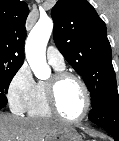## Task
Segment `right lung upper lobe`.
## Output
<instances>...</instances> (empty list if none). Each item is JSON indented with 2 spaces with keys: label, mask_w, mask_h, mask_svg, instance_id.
I'll use <instances>...</instances> for the list:
<instances>
[{
  "label": "right lung upper lobe",
  "mask_w": 119,
  "mask_h": 141,
  "mask_svg": "<svg viewBox=\"0 0 119 141\" xmlns=\"http://www.w3.org/2000/svg\"><path fill=\"white\" fill-rule=\"evenodd\" d=\"M28 13L25 2L0 0V68L22 66Z\"/></svg>",
  "instance_id": "right-lung-upper-lobe-1"
}]
</instances>
